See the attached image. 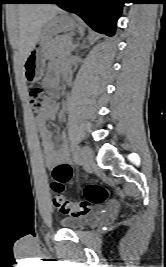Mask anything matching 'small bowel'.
Masks as SVG:
<instances>
[{
    "mask_svg": "<svg viewBox=\"0 0 166 267\" xmlns=\"http://www.w3.org/2000/svg\"><path fill=\"white\" fill-rule=\"evenodd\" d=\"M49 70L54 75L59 70H61L65 76L69 74V69L67 66L59 65L57 63H51L49 65ZM44 84L46 87L51 89L53 93L57 92V80L55 77L47 78L44 81ZM57 111V105H53L50 109L35 116L37 129L41 137V146L45 164L46 167L52 171V173L58 167H65L71 170V162L68 154L65 134L63 133L60 135V144L59 147L56 148L52 141L53 133L46 125L47 121L55 117Z\"/></svg>",
    "mask_w": 166,
    "mask_h": 267,
    "instance_id": "1",
    "label": "small bowel"
}]
</instances>
